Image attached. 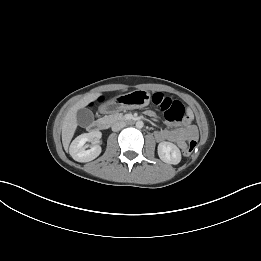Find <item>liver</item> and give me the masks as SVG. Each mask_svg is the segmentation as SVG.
Returning <instances> with one entry per match:
<instances>
[{
  "label": "liver",
  "instance_id": "liver-1",
  "mask_svg": "<svg viewBox=\"0 0 261 261\" xmlns=\"http://www.w3.org/2000/svg\"><path fill=\"white\" fill-rule=\"evenodd\" d=\"M100 93H91L84 96L74 104L67 112L62 123V143L65 150H68L70 141L77 128V111L86 107L90 102L95 101Z\"/></svg>",
  "mask_w": 261,
  "mask_h": 261
}]
</instances>
